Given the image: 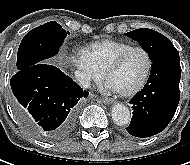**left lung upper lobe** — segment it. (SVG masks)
Instances as JSON below:
<instances>
[{
    "label": "left lung upper lobe",
    "mask_w": 190,
    "mask_h": 165,
    "mask_svg": "<svg viewBox=\"0 0 190 165\" xmlns=\"http://www.w3.org/2000/svg\"><path fill=\"white\" fill-rule=\"evenodd\" d=\"M125 35L137 41L148 53L152 62L163 55L177 51L167 37L151 29L141 28Z\"/></svg>",
    "instance_id": "1"
}]
</instances>
